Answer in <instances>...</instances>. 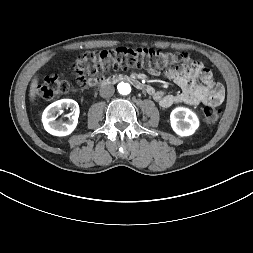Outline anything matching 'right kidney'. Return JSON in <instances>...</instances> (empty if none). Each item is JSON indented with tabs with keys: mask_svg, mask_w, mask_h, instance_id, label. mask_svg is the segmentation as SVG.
Listing matches in <instances>:
<instances>
[{
	"mask_svg": "<svg viewBox=\"0 0 253 253\" xmlns=\"http://www.w3.org/2000/svg\"><path fill=\"white\" fill-rule=\"evenodd\" d=\"M71 108L70 118L66 122L55 121V114L62 108ZM79 106L72 99H61L50 104L43 112L42 122L45 130L55 136H66L73 132L78 123Z\"/></svg>",
	"mask_w": 253,
	"mask_h": 253,
	"instance_id": "ca27d5eb",
	"label": "right kidney"
}]
</instances>
